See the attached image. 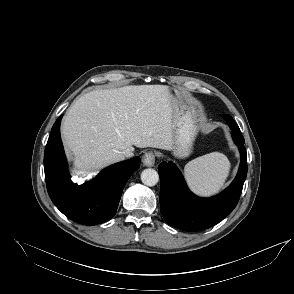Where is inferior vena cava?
<instances>
[{
    "label": "inferior vena cava",
    "instance_id": "inferior-vena-cava-1",
    "mask_svg": "<svg viewBox=\"0 0 294 294\" xmlns=\"http://www.w3.org/2000/svg\"><path fill=\"white\" fill-rule=\"evenodd\" d=\"M123 157H132L134 154H133V151L129 148L125 149L124 151L121 152Z\"/></svg>",
    "mask_w": 294,
    "mask_h": 294
}]
</instances>
